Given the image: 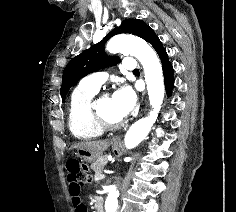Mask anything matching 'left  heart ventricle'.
I'll list each match as a JSON object with an SVG mask.
<instances>
[{
  "instance_id": "left-heart-ventricle-1",
  "label": "left heart ventricle",
  "mask_w": 236,
  "mask_h": 212,
  "mask_svg": "<svg viewBox=\"0 0 236 212\" xmlns=\"http://www.w3.org/2000/svg\"><path fill=\"white\" fill-rule=\"evenodd\" d=\"M98 107L101 113L110 121H119L122 118L118 117L114 110L112 96H107L99 100Z\"/></svg>"
}]
</instances>
